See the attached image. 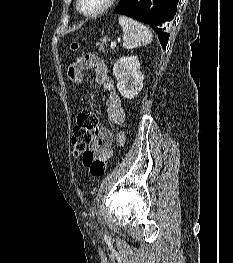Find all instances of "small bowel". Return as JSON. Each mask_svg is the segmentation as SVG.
Wrapping results in <instances>:
<instances>
[{
	"instance_id": "small-bowel-1",
	"label": "small bowel",
	"mask_w": 233,
	"mask_h": 263,
	"mask_svg": "<svg viewBox=\"0 0 233 263\" xmlns=\"http://www.w3.org/2000/svg\"><path fill=\"white\" fill-rule=\"evenodd\" d=\"M93 69L95 71V82L106 91L105 99L106 115L115 127V141L118 145L126 142V112L122 106V100L115 90L114 81L108 75L103 61L95 54L84 55L79 61L69 67L68 75L74 84H84V71ZM113 134L106 127H98L94 141L91 145V153L94 159L108 161L112 157Z\"/></svg>"
}]
</instances>
